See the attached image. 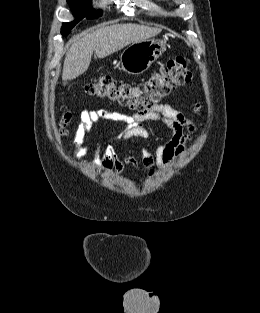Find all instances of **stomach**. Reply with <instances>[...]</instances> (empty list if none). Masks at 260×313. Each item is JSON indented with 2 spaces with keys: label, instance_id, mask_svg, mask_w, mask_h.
<instances>
[{
  "label": "stomach",
  "instance_id": "stomach-1",
  "mask_svg": "<svg viewBox=\"0 0 260 313\" xmlns=\"http://www.w3.org/2000/svg\"><path fill=\"white\" fill-rule=\"evenodd\" d=\"M166 46V42L161 39L134 42L121 54V66L125 72L139 75L166 51Z\"/></svg>",
  "mask_w": 260,
  "mask_h": 313
}]
</instances>
